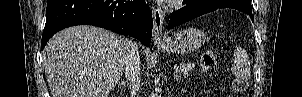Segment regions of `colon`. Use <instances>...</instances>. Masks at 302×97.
Masks as SVG:
<instances>
[{
  "label": "colon",
  "mask_w": 302,
  "mask_h": 97,
  "mask_svg": "<svg viewBox=\"0 0 302 97\" xmlns=\"http://www.w3.org/2000/svg\"><path fill=\"white\" fill-rule=\"evenodd\" d=\"M216 64L215 54L212 52H206L203 54L200 60V69L204 73L210 72ZM232 87L235 92H243L246 89V82L241 79H234L232 82Z\"/></svg>",
  "instance_id": "obj_1"
}]
</instances>
